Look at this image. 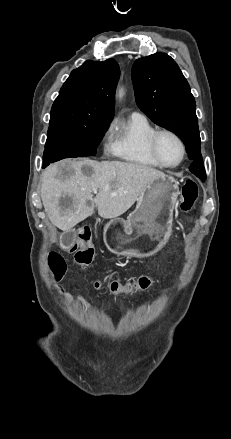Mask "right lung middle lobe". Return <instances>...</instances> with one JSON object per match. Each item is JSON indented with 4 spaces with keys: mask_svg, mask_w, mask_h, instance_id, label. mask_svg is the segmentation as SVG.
Listing matches in <instances>:
<instances>
[{
    "mask_svg": "<svg viewBox=\"0 0 231 439\" xmlns=\"http://www.w3.org/2000/svg\"><path fill=\"white\" fill-rule=\"evenodd\" d=\"M111 121L84 115L51 117L43 167L64 158L95 156Z\"/></svg>",
    "mask_w": 231,
    "mask_h": 439,
    "instance_id": "dd1d6c3e",
    "label": "right lung middle lobe"
}]
</instances>
